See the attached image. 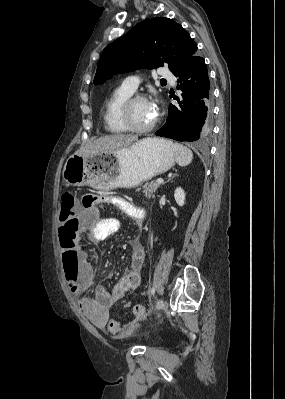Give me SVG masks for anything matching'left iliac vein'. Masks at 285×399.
Segmentation results:
<instances>
[{
	"instance_id": "left-iliac-vein-1",
	"label": "left iliac vein",
	"mask_w": 285,
	"mask_h": 399,
	"mask_svg": "<svg viewBox=\"0 0 285 399\" xmlns=\"http://www.w3.org/2000/svg\"><path fill=\"white\" fill-rule=\"evenodd\" d=\"M165 305H166V303H165L164 299L161 298V299H159V301L157 302L156 307H155V310H156V311L161 310V309H163V308L165 307Z\"/></svg>"
}]
</instances>
